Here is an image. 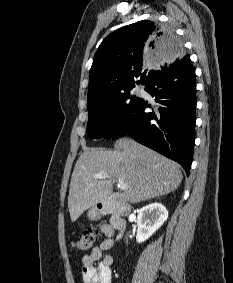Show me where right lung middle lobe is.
I'll return each mask as SVG.
<instances>
[{"label":"right lung middle lobe","instance_id":"right-lung-middle-lobe-1","mask_svg":"<svg viewBox=\"0 0 233 283\" xmlns=\"http://www.w3.org/2000/svg\"><path fill=\"white\" fill-rule=\"evenodd\" d=\"M134 86L116 92L88 106L89 137L112 138L118 126L127 118L140 98L131 93Z\"/></svg>","mask_w":233,"mask_h":283}]
</instances>
